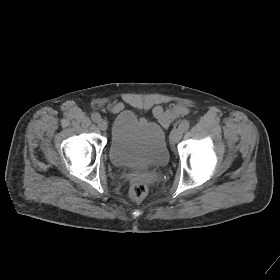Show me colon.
Wrapping results in <instances>:
<instances>
[{"instance_id":"obj_1","label":"colon","mask_w":280,"mask_h":280,"mask_svg":"<svg viewBox=\"0 0 280 280\" xmlns=\"http://www.w3.org/2000/svg\"><path fill=\"white\" fill-rule=\"evenodd\" d=\"M147 192L148 188L146 184L141 181H137L130 187L129 196L134 201H140L147 195Z\"/></svg>"}]
</instances>
